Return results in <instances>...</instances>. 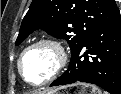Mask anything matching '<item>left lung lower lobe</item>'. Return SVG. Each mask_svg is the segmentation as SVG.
<instances>
[{"label":"left lung lower lobe","instance_id":"0a47b994","mask_svg":"<svg viewBox=\"0 0 121 94\" xmlns=\"http://www.w3.org/2000/svg\"><path fill=\"white\" fill-rule=\"evenodd\" d=\"M96 84L110 94H121V15L99 27L78 48L68 70L50 86L75 82Z\"/></svg>","mask_w":121,"mask_h":94}]
</instances>
